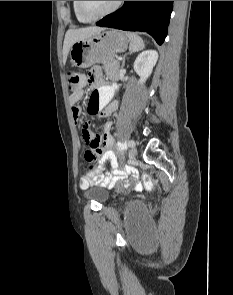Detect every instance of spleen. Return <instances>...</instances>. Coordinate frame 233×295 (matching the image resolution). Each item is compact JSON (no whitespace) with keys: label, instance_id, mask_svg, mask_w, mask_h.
I'll return each instance as SVG.
<instances>
[{"label":"spleen","instance_id":"spleen-1","mask_svg":"<svg viewBox=\"0 0 233 295\" xmlns=\"http://www.w3.org/2000/svg\"><path fill=\"white\" fill-rule=\"evenodd\" d=\"M127 36L130 40L129 49L131 52H137L144 48V41L139 35L129 32L127 33Z\"/></svg>","mask_w":233,"mask_h":295}]
</instances>
